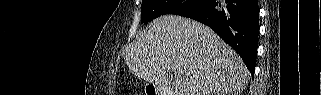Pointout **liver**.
Listing matches in <instances>:
<instances>
[{
    "mask_svg": "<svg viewBox=\"0 0 321 95\" xmlns=\"http://www.w3.org/2000/svg\"><path fill=\"white\" fill-rule=\"evenodd\" d=\"M129 71L155 85L174 78V95H239L250 73L209 27L175 15L155 19L122 52Z\"/></svg>",
    "mask_w": 321,
    "mask_h": 95,
    "instance_id": "6515ba94",
    "label": "liver"
}]
</instances>
